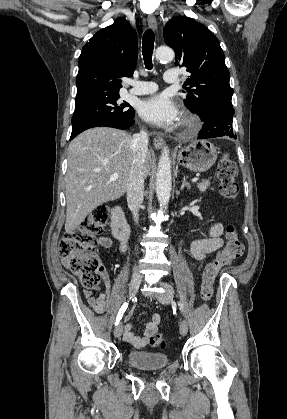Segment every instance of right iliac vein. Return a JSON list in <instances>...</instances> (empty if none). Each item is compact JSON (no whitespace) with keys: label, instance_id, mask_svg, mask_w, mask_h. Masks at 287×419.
Wrapping results in <instances>:
<instances>
[{"label":"right iliac vein","instance_id":"63e3f726","mask_svg":"<svg viewBox=\"0 0 287 419\" xmlns=\"http://www.w3.org/2000/svg\"><path fill=\"white\" fill-rule=\"evenodd\" d=\"M140 284H141V279L139 277H132L131 278L130 283H129V295L131 297H133L137 293ZM122 332H123V324H122V322H120L115 327L114 336L116 338H119L122 335Z\"/></svg>","mask_w":287,"mask_h":419}]
</instances>
